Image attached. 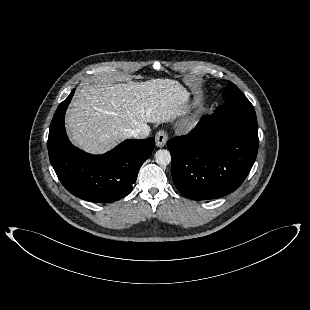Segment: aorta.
<instances>
[{
	"instance_id": "762f6f07",
	"label": "aorta",
	"mask_w": 310,
	"mask_h": 310,
	"mask_svg": "<svg viewBox=\"0 0 310 310\" xmlns=\"http://www.w3.org/2000/svg\"><path fill=\"white\" fill-rule=\"evenodd\" d=\"M155 161L161 166H166L171 162V154L166 149H160L155 153Z\"/></svg>"
}]
</instances>
